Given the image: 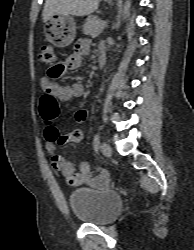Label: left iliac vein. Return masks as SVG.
<instances>
[{
  "label": "left iliac vein",
  "instance_id": "obj_1",
  "mask_svg": "<svg viewBox=\"0 0 194 250\" xmlns=\"http://www.w3.org/2000/svg\"><path fill=\"white\" fill-rule=\"evenodd\" d=\"M101 150H102V153L107 156V157H110L112 155V148L111 146L106 143V142H103L102 145H101Z\"/></svg>",
  "mask_w": 194,
  "mask_h": 250
}]
</instances>
